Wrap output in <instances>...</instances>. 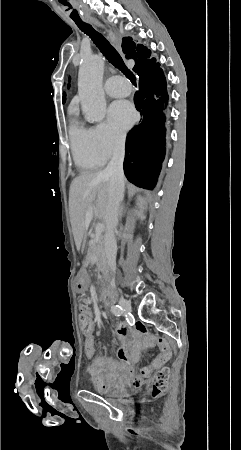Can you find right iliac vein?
Here are the masks:
<instances>
[{
	"label": "right iliac vein",
	"instance_id": "right-iliac-vein-1",
	"mask_svg": "<svg viewBox=\"0 0 241 450\" xmlns=\"http://www.w3.org/2000/svg\"><path fill=\"white\" fill-rule=\"evenodd\" d=\"M119 304L122 306V308L125 311L131 312L132 308H131V304L129 303V301H127L126 299L120 297L119 298Z\"/></svg>",
	"mask_w": 241,
	"mask_h": 450
}]
</instances>
